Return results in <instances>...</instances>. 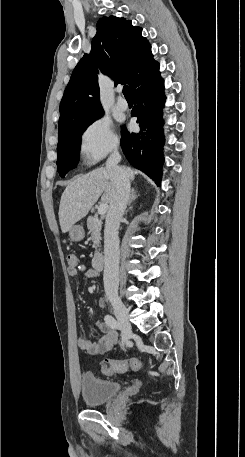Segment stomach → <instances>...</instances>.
Returning a JSON list of instances; mask_svg holds the SVG:
<instances>
[{
	"mask_svg": "<svg viewBox=\"0 0 245 457\" xmlns=\"http://www.w3.org/2000/svg\"><path fill=\"white\" fill-rule=\"evenodd\" d=\"M84 235L83 226H80V224H73L71 229H69V237L71 241H81V239H84Z\"/></svg>",
	"mask_w": 245,
	"mask_h": 457,
	"instance_id": "1",
	"label": "stomach"
}]
</instances>
